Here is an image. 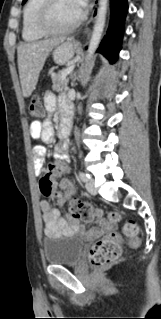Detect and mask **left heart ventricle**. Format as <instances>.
<instances>
[{"instance_id": "obj_1", "label": "left heart ventricle", "mask_w": 161, "mask_h": 319, "mask_svg": "<svg viewBox=\"0 0 161 319\" xmlns=\"http://www.w3.org/2000/svg\"><path fill=\"white\" fill-rule=\"evenodd\" d=\"M81 8L75 0H56L51 12L50 22L56 28L71 24L80 14Z\"/></svg>"}]
</instances>
